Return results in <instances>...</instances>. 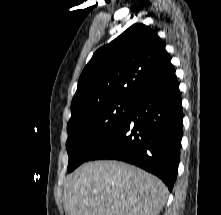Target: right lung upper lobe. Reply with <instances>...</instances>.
<instances>
[{
  "label": "right lung upper lobe",
  "instance_id": "right-lung-upper-lobe-1",
  "mask_svg": "<svg viewBox=\"0 0 221 215\" xmlns=\"http://www.w3.org/2000/svg\"><path fill=\"white\" fill-rule=\"evenodd\" d=\"M175 75L162 39L136 23L92 56L78 81L71 107L111 99L134 101Z\"/></svg>",
  "mask_w": 221,
  "mask_h": 215
}]
</instances>
